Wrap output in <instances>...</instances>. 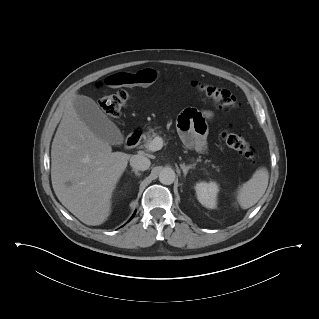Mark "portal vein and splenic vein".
I'll list each match as a JSON object with an SVG mask.
<instances>
[{
  "instance_id": "1",
  "label": "portal vein and splenic vein",
  "mask_w": 319,
  "mask_h": 319,
  "mask_svg": "<svg viewBox=\"0 0 319 319\" xmlns=\"http://www.w3.org/2000/svg\"><path fill=\"white\" fill-rule=\"evenodd\" d=\"M162 147H163V139L157 136L150 142L147 148L150 151L154 152V151L160 150Z\"/></svg>"
}]
</instances>
